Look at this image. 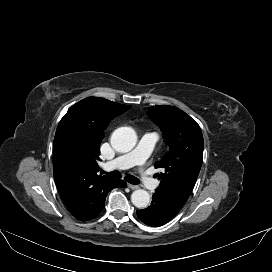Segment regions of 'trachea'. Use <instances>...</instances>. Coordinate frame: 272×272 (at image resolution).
I'll return each instance as SVG.
<instances>
[{"mask_svg": "<svg viewBox=\"0 0 272 272\" xmlns=\"http://www.w3.org/2000/svg\"><path fill=\"white\" fill-rule=\"evenodd\" d=\"M102 173H105L104 171H102ZM106 175L112 177V178H121V173L119 171H112L110 173H105ZM125 180L127 182H129L130 184H133V185H137L140 183L139 179L132 176V175H126L125 176Z\"/></svg>", "mask_w": 272, "mask_h": 272, "instance_id": "3493384b", "label": "trachea"}]
</instances>
